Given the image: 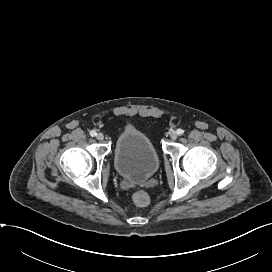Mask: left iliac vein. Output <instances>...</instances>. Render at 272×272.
<instances>
[{
    "mask_svg": "<svg viewBox=\"0 0 272 272\" xmlns=\"http://www.w3.org/2000/svg\"><path fill=\"white\" fill-rule=\"evenodd\" d=\"M177 133L176 132H173V133H171L170 134V138L172 139V140H176L177 139Z\"/></svg>",
    "mask_w": 272,
    "mask_h": 272,
    "instance_id": "left-iliac-vein-1",
    "label": "left iliac vein"
}]
</instances>
